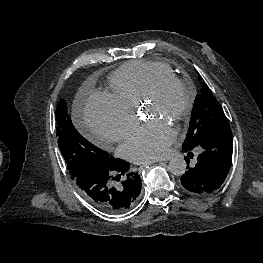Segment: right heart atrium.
<instances>
[{
    "instance_id": "d8ad5b80",
    "label": "right heart atrium",
    "mask_w": 263,
    "mask_h": 263,
    "mask_svg": "<svg viewBox=\"0 0 263 263\" xmlns=\"http://www.w3.org/2000/svg\"><path fill=\"white\" fill-rule=\"evenodd\" d=\"M84 122L98 143L107 146L125 138L136 123L133 109L110 93L92 94L84 108Z\"/></svg>"
}]
</instances>
